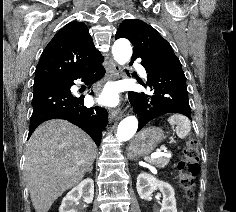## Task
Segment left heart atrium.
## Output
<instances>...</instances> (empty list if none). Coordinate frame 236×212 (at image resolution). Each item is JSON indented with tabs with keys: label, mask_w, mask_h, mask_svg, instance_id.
<instances>
[{
	"label": "left heart atrium",
	"mask_w": 236,
	"mask_h": 212,
	"mask_svg": "<svg viewBox=\"0 0 236 212\" xmlns=\"http://www.w3.org/2000/svg\"><path fill=\"white\" fill-rule=\"evenodd\" d=\"M99 102L106 106H113L118 102V95L113 87H107L101 93Z\"/></svg>",
	"instance_id": "left-heart-atrium-1"
}]
</instances>
